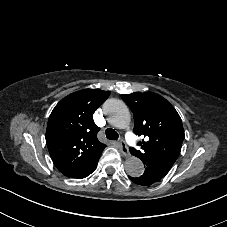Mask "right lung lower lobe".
<instances>
[{"label":"right lung lower lobe","instance_id":"obj_1","mask_svg":"<svg viewBox=\"0 0 227 227\" xmlns=\"http://www.w3.org/2000/svg\"><path fill=\"white\" fill-rule=\"evenodd\" d=\"M84 160L85 159L83 157H79V159L76 162L72 163L70 167L60 172H62L64 175L71 178L81 179V178L87 177L92 172H94V170L97 167V163L99 159L91 163L90 166H88L86 169H78V167L83 166Z\"/></svg>","mask_w":227,"mask_h":227}]
</instances>
